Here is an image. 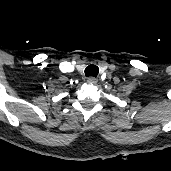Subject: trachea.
Wrapping results in <instances>:
<instances>
[{
  "instance_id": "3493384b",
  "label": "trachea",
  "mask_w": 171,
  "mask_h": 171,
  "mask_svg": "<svg viewBox=\"0 0 171 171\" xmlns=\"http://www.w3.org/2000/svg\"><path fill=\"white\" fill-rule=\"evenodd\" d=\"M99 73V68L96 65H89L86 69H85V75L87 77L89 76H93V77H97Z\"/></svg>"
}]
</instances>
